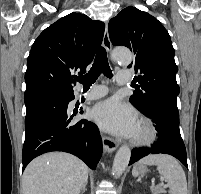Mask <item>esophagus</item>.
<instances>
[{
	"mask_svg": "<svg viewBox=\"0 0 201 194\" xmlns=\"http://www.w3.org/2000/svg\"><path fill=\"white\" fill-rule=\"evenodd\" d=\"M103 46L110 54L112 51V44L109 37L108 25H105V31L103 36ZM118 147V142L109 136L103 137V148L106 152H113Z\"/></svg>",
	"mask_w": 201,
	"mask_h": 194,
	"instance_id": "obj_1",
	"label": "esophagus"
}]
</instances>
